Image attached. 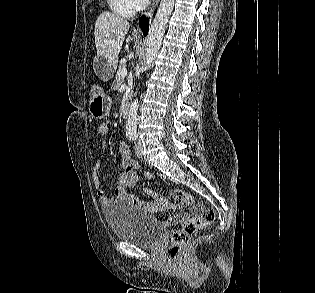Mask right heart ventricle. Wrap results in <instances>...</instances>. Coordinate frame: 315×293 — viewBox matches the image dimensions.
I'll use <instances>...</instances> for the list:
<instances>
[{
	"instance_id": "e07e8e85",
	"label": "right heart ventricle",
	"mask_w": 315,
	"mask_h": 293,
	"mask_svg": "<svg viewBox=\"0 0 315 293\" xmlns=\"http://www.w3.org/2000/svg\"><path fill=\"white\" fill-rule=\"evenodd\" d=\"M111 11L121 17L129 18L134 14L128 0H107Z\"/></svg>"
}]
</instances>
